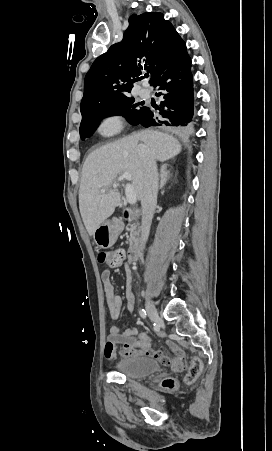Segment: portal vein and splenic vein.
Segmentation results:
<instances>
[{
  "label": "portal vein and splenic vein",
  "instance_id": "portal-vein-and-splenic-vein-1",
  "mask_svg": "<svg viewBox=\"0 0 272 451\" xmlns=\"http://www.w3.org/2000/svg\"><path fill=\"white\" fill-rule=\"evenodd\" d=\"M122 180H128V182H130V180H132V176H131L130 172H124V174H122V176H119L118 182H122ZM113 188H117V184H113ZM100 192H101V194H104V192H106L105 188H102V190H100ZM125 194H126V200H127L128 204H136V194H135L134 188H133V186H131V184H126Z\"/></svg>",
  "mask_w": 272,
  "mask_h": 451
}]
</instances>
